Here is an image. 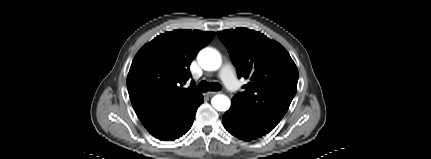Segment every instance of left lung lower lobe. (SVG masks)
Returning <instances> with one entry per match:
<instances>
[{
  "label": "left lung lower lobe",
  "instance_id": "left-lung-lower-lobe-1",
  "mask_svg": "<svg viewBox=\"0 0 431 159\" xmlns=\"http://www.w3.org/2000/svg\"><path fill=\"white\" fill-rule=\"evenodd\" d=\"M279 121L249 112L232 101L231 108L223 115L225 129L239 139L250 141L269 133Z\"/></svg>",
  "mask_w": 431,
  "mask_h": 159
}]
</instances>
